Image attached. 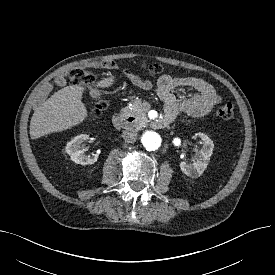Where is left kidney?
I'll return each instance as SVG.
<instances>
[{"instance_id": "obj_1", "label": "left kidney", "mask_w": 275, "mask_h": 275, "mask_svg": "<svg viewBox=\"0 0 275 275\" xmlns=\"http://www.w3.org/2000/svg\"><path fill=\"white\" fill-rule=\"evenodd\" d=\"M198 136L202 140V148L190 161H182L180 163L181 171L191 177L197 178L203 174L209 163L210 157L213 152V141L204 133H198Z\"/></svg>"}]
</instances>
